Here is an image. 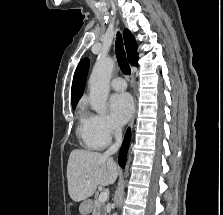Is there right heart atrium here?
<instances>
[{
    "mask_svg": "<svg viewBox=\"0 0 223 215\" xmlns=\"http://www.w3.org/2000/svg\"><path fill=\"white\" fill-rule=\"evenodd\" d=\"M89 123L95 135L105 143H108L120 131L111 117L106 114H90Z\"/></svg>",
    "mask_w": 223,
    "mask_h": 215,
    "instance_id": "1",
    "label": "right heart atrium"
}]
</instances>
